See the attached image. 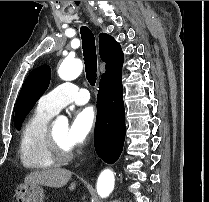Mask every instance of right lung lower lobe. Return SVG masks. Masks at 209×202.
Instances as JSON below:
<instances>
[{"label": "right lung lower lobe", "instance_id": "1", "mask_svg": "<svg viewBox=\"0 0 209 202\" xmlns=\"http://www.w3.org/2000/svg\"><path fill=\"white\" fill-rule=\"evenodd\" d=\"M122 83H99L94 144L97 155L112 164L118 160L125 140Z\"/></svg>", "mask_w": 209, "mask_h": 202}]
</instances>
